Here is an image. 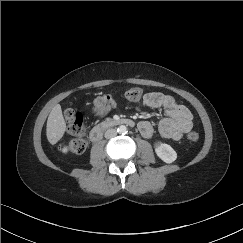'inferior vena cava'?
<instances>
[{
	"mask_svg": "<svg viewBox=\"0 0 243 243\" xmlns=\"http://www.w3.org/2000/svg\"><path fill=\"white\" fill-rule=\"evenodd\" d=\"M117 135V131L113 128L111 129H108L106 132H105V138L107 139H110V138H113Z\"/></svg>",
	"mask_w": 243,
	"mask_h": 243,
	"instance_id": "inferior-vena-cava-1",
	"label": "inferior vena cava"
}]
</instances>
